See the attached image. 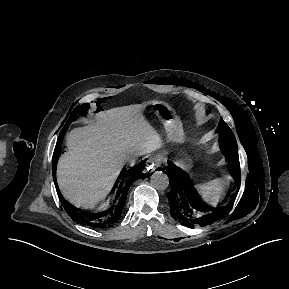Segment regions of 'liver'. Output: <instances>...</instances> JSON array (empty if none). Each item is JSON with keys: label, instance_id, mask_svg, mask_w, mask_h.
Wrapping results in <instances>:
<instances>
[{"label": "liver", "instance_id": "6515ba94", "mask_svg": "<svg viewBox=\"0 0 289 289\" xmlns=\"http://www.w3.org/2000/svg\"><path fill=\"white\" fill-rule=\"evenodd\" d=\"M142 105L113 108L98 122L67 135L68 152L57 164L64 198L77 207L93 208L110 192L124 162L158 149L159 134L143 116Z\"/></svg>", "mask_w": 289, "mask_h": 289}]
</instances>
